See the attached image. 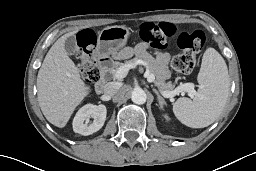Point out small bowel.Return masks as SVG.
<instances>
[{"mask_svg": "<svg viewBox=\"0 0 256 171\" xmlns=\"http://www.w3.org/2000/svg\"><path fill=\"white\" fill-rule=\"evenodd\" d=\"M134 53L140 57H145L148 51L146 44H139L133 49ZM169 54L166 52H155V65L157 67L160 79H165L169 76L168 62Z\"/></svg>", "mask_w": 256, "mask_h": 171, "instance_id": "c3829d8e", "label": "small bowel"}]
</instances>
